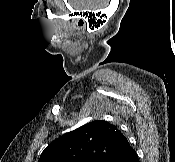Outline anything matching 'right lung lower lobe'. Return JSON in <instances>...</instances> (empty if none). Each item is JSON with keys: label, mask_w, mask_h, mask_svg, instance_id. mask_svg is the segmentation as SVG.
Returning a JSON list of instances; mask_svg holds the SVG:
<instances>
[{"label": "right lung lower lobe", "mask_w": 175, "mask_h": 162, "mask_svg": "<svg viewBox=\"0 0 175 162\" xmlns=\"http://www.w3.org/2000/svg\"><path fill=\"white\" fill-rule=\"evenodd\" d=\"M113 162H139V158L135 150L132 148L127 153L115 158Z\"/></svg>", "instance_id": "right-lung-lower-lobe-1"}]
</instances>
